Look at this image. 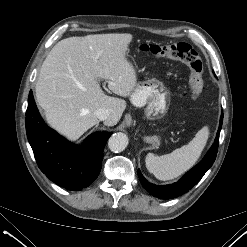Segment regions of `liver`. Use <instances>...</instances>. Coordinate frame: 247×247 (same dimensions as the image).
Masks as SVG:
<instances>
[{
    "label": "liver",
    "instance_id": "liver-1",
    "mask_svg": "<svg viewBox=\"0 0 247 247\" xmlns=\"http://www.w3.org/2000/svg\"><path fill=\"white\" fill-rule=\"evenodd\" d=\"M132 34H95L59 41L44 60L36 99L52 128L76 140L98 123L95 111L109 110L114 126L126 108L124 99L104 94L100 81L120 97H129L137 74L126 58Z\"/></svg>",
    "mask_w": 247,
    "mask_h": 247
}]
</instances>
